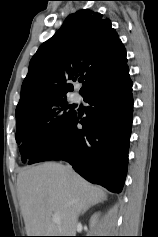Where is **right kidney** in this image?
Returning <instances> with one entry per match:
<instances>
[{"mask_svg":"<svg viewBox=\"0 0 158 237\" xmlns=\"http://www.w3.org/2000/svg\"><path fill=\"white\" fill-rule=\"evenodd\" d=\"M96 218H97V214H94L90 219V223L93 224L95 222Z\"/></svg>","mask_w":158,"mask_h":237,"instance_id":"ca27d5eb","label":"right kidney"}]
</instances>
